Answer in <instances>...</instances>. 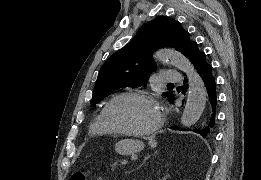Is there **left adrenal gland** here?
I'll return each mask as SVG.
<instances>
[{
	"label": "left adrenal gland",
	"mask_w": 261,
	"mask_h": 180,
	"mask_svg": "<svg viewBox=\"0 0 261 180\" xmlns=\"http://www.w3.org/2000/svg\"><path fill=\"white\" fill-rule=\"evenodd\" d=\"M148 158H150V156H146V158H144L143 164H145V162H146V160H148ZM143 164H141V166H143Z\"/></svg>",
	"instance_id": "a2214340"
}]
</instances>
